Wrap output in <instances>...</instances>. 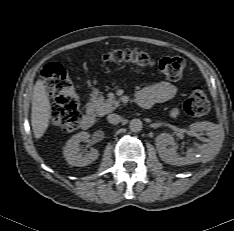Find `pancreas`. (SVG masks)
Instances as JSON below:
<instances>
[{"label": "pancreas", "mask_w": 234, "mask_h": 231, "mask_svg": "<svg viewBox=\"0 0 234 231\" xmlns=\"http://www.w3.org/2000/svg\"><path fill=\"white\" fill-rule=\"evenodd\" d=\"M120 105L119 101L115 99H107L102 95H98L97 92H94L91 95L89 106L90 108L98 115L103 116L109 112H112Z\"/></svg>", "instance_id": "cf45deb5"}]
</instances>
